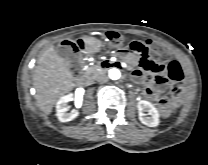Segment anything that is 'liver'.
<instances>
[{
  "mask_svg": "<svg viewBox=\"0 0 208 165\" xmlns=\"http://www.w3.org/2000/svg\"><path fill=\"white\" fill-rule=\"evenodd\" d=\"M33 85L38 106L46 115L52 112L57 100L75 86L72 73L53 46L38 58Z\"/></svg>",
  "mask_w": 208,
  "mask_h": 165,
  "instance_id": "6515ba94",
  "label": "liver"
}]
</instances>
